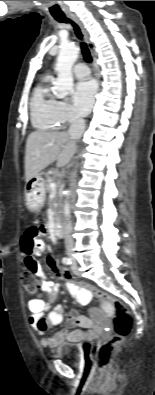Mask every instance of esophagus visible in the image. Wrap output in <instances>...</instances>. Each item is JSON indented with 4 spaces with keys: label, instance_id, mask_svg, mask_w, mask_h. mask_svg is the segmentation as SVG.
I'll return each mask as SVG.
<instances>
[{
    "label": "esophagus",
    "instance_id": "obj_1",
    "mask_svg": "<svg viewBox=\"0 0 155 395\" xmlns=\"http://www.w3.org/2000/svg\"><path fill=\"white\" fill-rule=\"evenodd\" d=\"M66 15H67V17L69 19H71L72 21H74L78 25V27L80 28V30H81V32H82V34L84 36V39H85L89 49H92L91 42L88 39V34H87L86 30L84 29L83 24L81 23V21L78 19V17L76 15L72 14V13H67Z\"/></svg>",
    "mask_w": 155,
    "mask_h": 395
}]
</instances>
